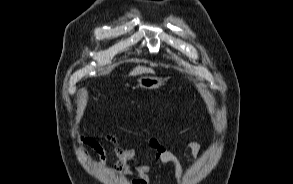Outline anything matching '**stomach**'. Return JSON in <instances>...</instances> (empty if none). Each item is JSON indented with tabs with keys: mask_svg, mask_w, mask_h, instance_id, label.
Wrapping results in <instances>:
<instances>
[{
	"mask_svg": "<svg viewBox=\"0 0 293 184\" xmlns=\"http://www.w3.org/2000/svg\"><path fill=\"white\" fill-rule=\"evenodd\" d=\"M138 87L142 89H158L162 85H164L165 81L162 78L149 76V75H141L137 79Z\"/></svg>",
	"mask_w": 293,
	"mask_h": 184,
	"instance_id": "1",
	"label": "stomach"
}]
</instances>
